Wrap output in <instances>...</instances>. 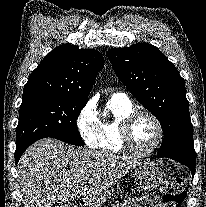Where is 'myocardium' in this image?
Wrapping results in <instances>:
<instances>
[{"instance_id": "1", "label": "myocardium", "mask_w": 206, "mask_h": 207, "mask_svg": "<svg viewBox=\"0 0 206 207\" xmlns=\"http://www.w3.org/2000/svg\"><path fill=\"white\" fill-rule=\"evenodd\" d=\"M142 116L150 118L154 122L158 131L155 143L147 150H139L135 148V146L132 144L130 136L132 125L138 118ZM119 139L124 151L134 156L146 157L153 154L162 144L164 139V127L160 119L154 113L148 110H134L122 121L119 129Z\"/></svg>"}]
</instances>
